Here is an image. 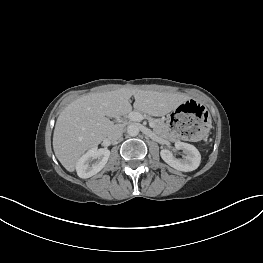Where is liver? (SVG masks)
<instances>
[{"mask_svg":"<svg viewBox=\"0 0 263 263\" xmlns=\"http://www.w3.org/2000/svg\"><path fill=\"white\" fill-rule=\"evenodd\" d=\"M132 96L134 109L152 116L165 115L189 99L181 93L130 88L82 95L64 108L54 129V153L66 170L73 172L81 155L108 136L115 126L109 117L131 111Z\"/></svg>","mask_w":263,"mask_h":263,"instance_id":"6515ba94","label":"liver"}]
</instances>
